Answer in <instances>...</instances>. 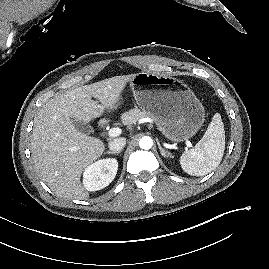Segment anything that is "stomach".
<instances>
[{
	"label": "stomach",
	"instance_id": "obj_1",
	"mask_svg": "<svg viewBox=\"0 0 269 269\" xmlns=\"http://www.w3.org/2000/svg\"><path fill=\"white\" fill-rule=\"evenodd\" d=\"M130 86L138 107L174 143L193 137L204 123L202 103L182 81L150 72L137 73ZM120 104V98L116 108Z\"/></svg>",
	"mask_w": 269,
	"mask_h": 269
}]
</instances>
